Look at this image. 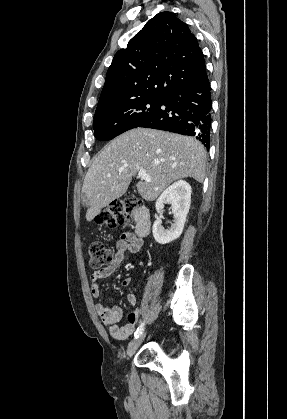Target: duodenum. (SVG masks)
Instances as JSON below:
<instances>
[{
	"label": "duodenum",
	"instance_id": "410a0bca",
	"mask_svg": "<svg viewBox=\"0 0 287 419\" xmlns=\"http://www.w3.org/2000/svg\"><path fill=\"white\" fill-rule=\"evenodd\" d=\"M150 231L149 214L145 207L135 210V232L139 237H146Z\"/></svg>",
	"mask_w": 287,
	"mask_h": 419
}]
</instances>
